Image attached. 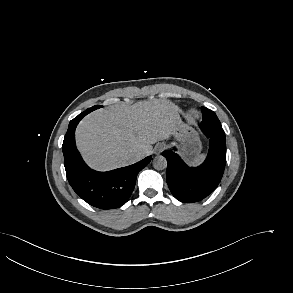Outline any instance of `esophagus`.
I'll return each instance as SVG.
<instances>
[{
    "label": "esophagus",
    "mask_w": 293,
    "mask_h": 293,
    "mask_svg": "<svg viewBox=\"0 0 293 293\" xmlns=\"http://www.w3.org/2000/svg\"><path fill=\"white\" fill-rule=\"evenodd\" d=\"M165 149H166V144L162 143L155 147L154 152L155 154H160Z\"/></svg>",
    "instance_id": "obj_1"
}]
</instances>
